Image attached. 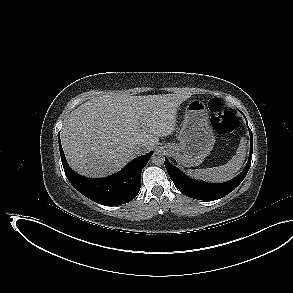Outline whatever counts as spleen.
<instances>
[{"mask_svg": "<svg viewBox=\"0 0 293 293\" xmlns=\"http://www.w3.org/2000/svg\"><path fill=\"white\" fill-rule=\"evenodd\" d=\"M245 155L246 139L242 138L240 140V145L237 148L236 155H234L225 165L207 169H188L187 173L196 179H203L209 182H225L232 179L241 169Z\"/></svg>", "mask_w": 293, "mask_h": 293, "instance_id": "1", "label": "spleen"}]
</instances>
